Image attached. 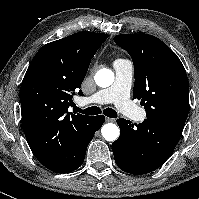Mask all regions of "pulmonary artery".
<instances>
[{
  "label": "pulmonary artery",
  "mask_w": 199,
  "mask_h": 199,
  "mask_svg": "<svg viewBox=\"0 0 199 199\" xmlns=\"http://www.w3.org/2000/svg\"><path fill=\"white\" fill-rule=\"evenodd\" d=\"M115 81L107 89L101 90L91 96L81 99L84 104L113 103L127 116L138 121H143L146 117L143 109L138 108L130 100V90L133 80V64L126 59H117L114 62Z\"/></svg>",
  "instance_id": "pulmonary-artery-1"
}]
</instances>
